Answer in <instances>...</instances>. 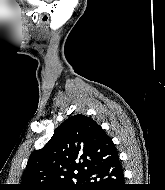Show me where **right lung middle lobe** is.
Segmentation results:
<instances>
[{"instance_id": "right-lung-middle-lobe-1", "label": "right lung middle lobe", "mask_w": 165, "mask_h": 190, "mask_svg": "<svg viewBox=\"0 0 165 190\" xmlns=\"http://www.w3.org/2000/svg\"><path fill=\"white\" fill-rule=\"evenodd\" d=\"M78 184L75 185H68V186H64V187H59V188H55L53 190H78Z\"/></svg>"}]
</instances>
